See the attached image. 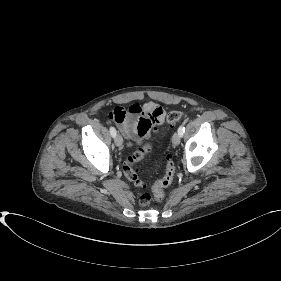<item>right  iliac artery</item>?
<instances>
[{
    "label": "right iliac artery",
    "mask_w": 281,
    "mask_h": 281,
    "mask_svg": "<svg viewBox=\"0 0 281 281\" xmlns=\"http://www.w3.org/2000/svg\"><path fill=\"white\" fill-rule=\"evenodd\" d=\"M110 133L112 135V137L116 136V129L114 127H110Z\"/></svg>",
    "instance_id": "obj_1"
}]
</instances>
